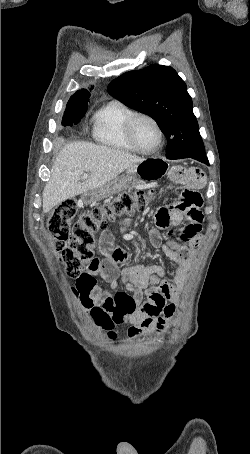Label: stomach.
<instances>
[{
    "label": "stomach",
    "instance_id": "stomach-1",
    "mask_svg": "<svg viewBox=\"0 0 250 454\" xmlns=\"http://www.w3.org/2000/svg\"><path fill=\"white\" fill-rule=\"evenodd\" d=\"M166 168L167 163L161 159H145L143 162L129 167L126 178L128 182L143 185L162 177ZM119 187L116 181L109 182L100 188L84 193L83 198L88 203L101 201L115 193Z\"/></svg>",
    "mask_w": 250,
    "mask_h": 454
}]
</instances>
